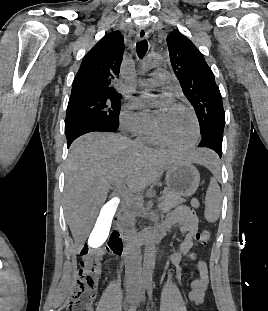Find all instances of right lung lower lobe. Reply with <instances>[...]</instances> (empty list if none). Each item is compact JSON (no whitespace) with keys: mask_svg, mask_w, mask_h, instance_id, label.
Segmentation results:
<instances>
[{"mask_svg":"<svg viewBox=\"0 0 268 311\" xmlns=\"http://www.w3.org/2000/svg\"><path fill=\"white\" fill-rule=\"evenodd\" d=\"M119 126H108L103 123L94 120L81 119L68 127H65V134L67 138V146L69 147L71 143L79 136L89 133V132H115Z\"/></svg>","mask_w":268,"mask_h":311,"instance_id":"98d812e1","label":"right lung lower lobe"}]
</instances>
